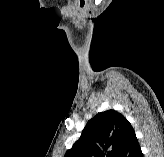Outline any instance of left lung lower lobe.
<instances>
[{"instance_id": "0a47b994", "label": "left lung lower lobe", "mask_w": 164, "mask_h": 157, "mask_svg": "<svg viewBox=\"0 0 164 157\" xmlns=\"http://www.w3.org/2000/svg\"><path fill=\"white\" fill-rule=\"evenodd\" d=\"M118 157H143L135 134L129 139Z\"/></svg>"}]
</instances>
